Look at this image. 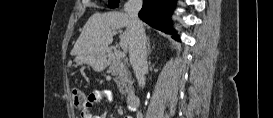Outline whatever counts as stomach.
<instances>
[{
	"label": "stomach",
	"instance_id": "stomach-1",
	"mask_svg": "<svg viewBox=\"0 0 273 118\" xmlns=\"http://www.w3.org/2000/svg\"><path fill=\"white\" fill-rule=\"evenodd\" d=\"M74 62L77 65L88 64L96 72H101L107 66L108 56L105 52L91 55H77Z\"/></svg>",
	"mask_w": 273,
	"mask_h": 118
}]
</instances>
